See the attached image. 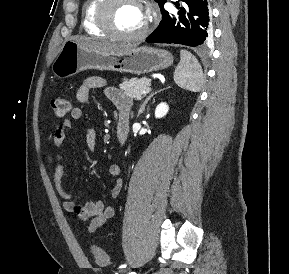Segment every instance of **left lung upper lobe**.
Wrapping results in <instances>:
<instances>
[{"label":"left lung upper lobe","mask_w":289,"mask_h":274,"mask_svg":"<svg viewBox=\"0 0 289 274\" xmlns=\"http://www.w3.org/2000/svg\"><path fill=\"white\" fill-rule=\"evenodd\" d=\"M158 4H159V6L161 5V3L164 1V0H155Z\"/></svg>","instance_id":"1"}]
</instances>
